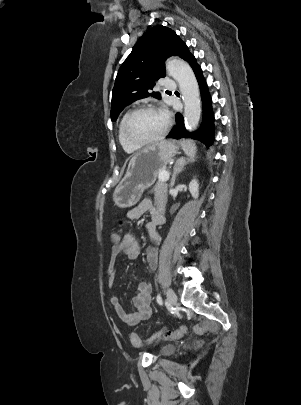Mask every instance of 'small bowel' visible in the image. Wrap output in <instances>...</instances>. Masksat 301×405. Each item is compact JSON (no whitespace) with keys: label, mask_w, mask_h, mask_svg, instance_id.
<instances>
[{"label":"small bowel","mask_w":301,"mask_h":405,"mask_svg":"<svg viewBox=\"0 0 301 405\" xmlns=\"http://www.w3.org/2000/svg\"><path fill=\"white\" fill-rule=\"evenodd\" d=\"M145 213H149L151 217V220L147 223V230L150 238L154 243L158 244L161 241V237L157 233L156 227L164 222L163 207H157L150 199H144L136 207L128 211L127 218L130 220H136ZM118 237L120 238V245L118 247H115L114 245L112 246L110 261L106 273L109 288H113L115 283L118 257L121 254H125L129 259H136L140 251L139 241L133 234L126 233L125 235H119ZM146 254L149 268L151 270L156 269L158 265L157 248L148 247ZM151 300L152 287L146 282L138 284L136 295L132 299L133 309L131 311H127L122 307L119 297L116 294L112 293L109 298L110 304L114 308L119 319L128 325H135L151 316Z\"/></svg>","instance_id":"1"}]
</instances>
